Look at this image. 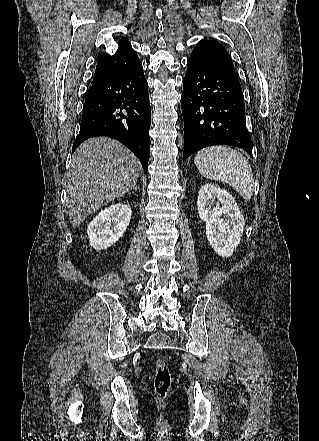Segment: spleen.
<instances>
[{
	"label": "spleen",
	"mask_w": 319,
	"mask_h": 441,
	"mask_svg": "<svg viewBox=\"0 0 319 441\" xmlns=\"http://www.w3.org/2000/svg\"><path fill=\"white\" fill-rule=\"evenodd\" d=\"M194 162L203 177L227 183L243 199H251L253 173L248 160L239 151L222 145L212 146L198 151Z\"/></svg>",
	"instance_id": "spleen-1"
}]
</instances>
